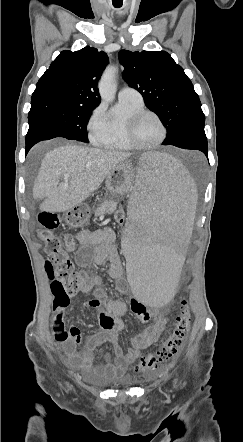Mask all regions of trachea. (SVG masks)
<instances>
[{
	"mask_svg": "<svg viewBox=\"0 0 243 442\" xmlns=\"http://www.w3.org/2000/svg\"><path fill=\"white\" fill-rule=\"evenodd\" d=\"M121 6H115V8H120Z\"/></svg>",
	"mask_w": 243,
	"mask_h": 442,
	"instance_id": "obj_1",
	"label": "trachea"
}]
</instances>
